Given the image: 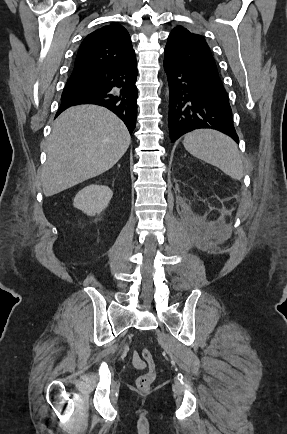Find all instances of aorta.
<instances>
[{
	"instance_id": "1",
	"label": "aorta",
	"mask_w": 287,
	"mask_h": 434,
	"mask_svg": "<svg viewBox=\"0 0 287 434\" xmlns=\"http://www.w3.org/2000/svg\"><path fill=\"white\" fill-rule=\"evenodd\" d=\"M166 96L169 97V90H168V88L166 89Z\"/></svg>"
}]
</instances>
